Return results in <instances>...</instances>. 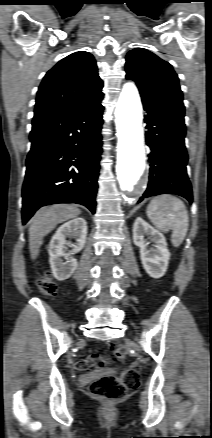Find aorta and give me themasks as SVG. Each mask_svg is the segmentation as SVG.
Instances as JSON below:
<instances>
[{"label":"aorta","instance_id":"762f6f07","mask_svg":"<svg viewBox=\"0 0 212 438\" xmlns=\"http://www.w3.org/2000/svg\"><path fill=\"white\" fill-rule=\"evenodd\" d=\"M118 136L117 177L123 191L132 192L145 170L142 105L136 86H123L115 110Z\"/></svg>","mask_w":212,"mask_h":438}]
</instances>
